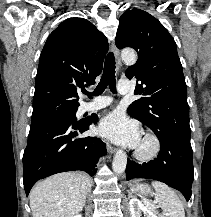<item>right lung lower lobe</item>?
<instances>
[{"label": "right lung lower lobe", "instance_id": "right-lung-lower-lobe-1", "mask_svg": "<svg viewBox=\"0 0 211 217\" xmlns=\"http://www.w3.org/2000/svg\"><path fill=\"white\" fill-rule=\"evenodd\" d=\"M97 120L96 114H92L75 123H31L23 155V182L27 196L38 180L56 173L82 170L95 175L99 156L106 154V145L96 137L77 136L89 130Z\"/></svg>", "mask_w": 211, "mask_h": 217}]
</instances>
